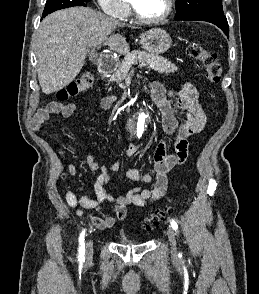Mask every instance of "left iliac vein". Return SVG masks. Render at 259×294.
Masks as SVG:
<instances>
[{
  "instance_id": "1",
  "label": "left iliac vein",
  "mask_w": 259,
  "mask_h": 294,
  "mask_svg": "<svg viewBox=\"0 0 259 294\" xmlns=\"http://www.w3.org/2000/svg\"><path fill=\"white\" fill-rule=\"evenodd\" d=\"M167 236L171 246V253L175 255L177 252L176 235H175V231L171 227L167 228Z\"/></svg>"
}]
</instances>
